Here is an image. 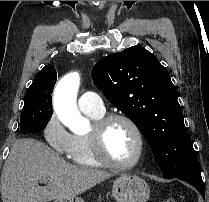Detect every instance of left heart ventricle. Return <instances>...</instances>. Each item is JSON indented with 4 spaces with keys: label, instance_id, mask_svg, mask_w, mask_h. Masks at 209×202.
<instances>
[{
    "label": "left heart ventricle",
    "instance_id": "obj_1",
    "mask_svg": "<svg viewBox=\"0 0 209 202\" xmlns=\"http://www.w3.org/2000/svg\"><path fill=\"white\" fill-rule=\"evenodd\" d=\"M104 147L112 160L128 164L133 162L137 155V136L127 123L117 121L107 129L104 136Z\"/></svg>",
    "mask_w": 209,
    "mask_h": 202
}]
</instances>
